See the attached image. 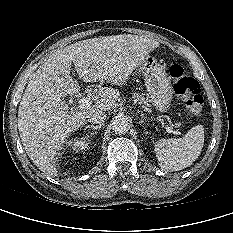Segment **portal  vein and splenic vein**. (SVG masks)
Listing matches in <instances>:
<instances>
[{"mask_svg":"<svg viewBox=\"0 0 233 233\" xmlns=\"http://www.w3.org/2000/svg\"><path fill=\"white\" fill-rule=\"evenodd\" d=\"M90 105H91V99L88 98V97H83L79 101L78 108L82 110V109H85V108L89 107ZM166 131L169 134H180L179 131L173 130V128L168 126V125H166Z\"/></svg>","mask_w":233,"mask_h":233,"instance_id":"18ae733b","label":"portal vein and splenic vein"}]
</instances>
